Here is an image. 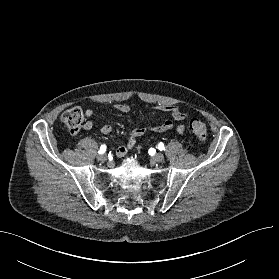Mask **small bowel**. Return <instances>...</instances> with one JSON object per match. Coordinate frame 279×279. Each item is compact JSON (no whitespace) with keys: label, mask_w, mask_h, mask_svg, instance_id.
I'll list each match as a JSON object with an SVG mask.
<instances>
[{"label":"small bowel","mask_w":279,"mask_h":279,"mask_svg":"<svg viewBox=\"0 0 279 279\" xmlns=\"http://www.w3.org/2000/svg\"><path fill=\"white\" fill-rule=\"evenodd\" d=\"M115 109L121 113H128L130 111V107L127 104H118L115 106ZM155 110L161 112H167L172 116V118L178 121H185L187 119L186 111L179 105H157L155 106ZM85 114L87 118H91L94 115V111L92 109H88L86 110ZM83 127L85 130H91L94 128V122L91 120H87L84 123ZM172 127H173L172 121L166 120L161 124L152 127L133 128L129 133V137L126 144L121 145L116 149L115 152L116 156L122 158L128 153L129 150L133 149V147L136 144V138L141 137L147 134L148 132H157V133L165 132L170 130ZM185 129H186L185 124H180L177 127V132L179 134H184ZM100 131L103 134L108 135L112 132V127L109 124H103L100 127Z\"/></svg>","instance_id":"c3829d8e"}]
</instances>
